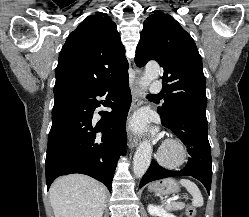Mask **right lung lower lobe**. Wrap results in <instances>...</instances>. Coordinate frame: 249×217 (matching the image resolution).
Masks as SVG:
<instances>
[{
	"instance_id": "obj_1",
	"label": "right lung lower lobe",
	"mask_w": 249,
	"mask_h": 217,
	"mask_svg": "<svg viewBox=\"0 0 249 217\" xmlns=\"http://www.w3.org/2000/svg\"><path fill=\"white\" fill-rule=\"evenodd\" d=\"M128 76L96 88L62 87L54 89L52 127L45 161L46 184L59 176L81 173L104 183L109 191L118 158L125 154V122L131 105ZM105 96L107 101L97 97ZM112 100V101H111ZM101 105V120L93 121Z\"/></svg>"
}]
</instances>
